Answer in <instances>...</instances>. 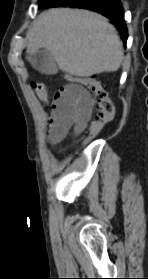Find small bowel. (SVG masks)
<instances>
[{
  "label": "small bowel",
  "instance_id": "obj_1",
  "mask_svg": "<svg viewBox=\"0 0 148 279\" xmlns=\"http://www.w3.org/2000/svg\"><path fill=\"white\" fill-rule=\"evenodd\" d=\"M93 101L80 85L62 86L51 99V115L47 125V137L52 144L61 142L74 129L80 132L86 126Z\"/></svg>",
  "mask_w": 148,
  "mask_h": 279
}]
</instances>
